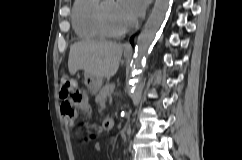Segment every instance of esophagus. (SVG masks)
<instances>
[{
    "mask_svg": "<svg viewBox=\"0 0 242 160\" xmlns=\"http://www.w3.org/2000/svg\"><path fill=\"white\" fill-rule=\"evenodd\" d=\"M124 50H125V52L131 53L133 50L131 44L130 43L126 44L124 46Z\"/></svg>",
    "mask_w": 242,
    "mask_h": 160,
    "instance_id": "1",
    "label": "esophagus"
}]
</instances>
